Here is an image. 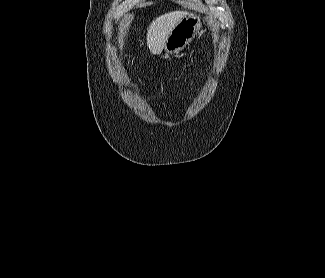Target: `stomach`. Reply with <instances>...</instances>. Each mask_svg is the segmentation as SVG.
Segmentation results:
<instances>
[{
  "instance_id": "stomach-1",
  "label": "stomach",
  "mask_w": 325,
  "mask_h": 278,
  "mask_svg": "<svg viewBox=\"0 0 325 278\" xmlns=\"http://www.w3.org/2000/svg\"><path fill=\"white\" fill-rule=\"evenodd\" d=\"M201 28V20L196 14L185 15L172 29L164 50L167 54H178L195 38Z\"/></svg>"
}]
</instances>
